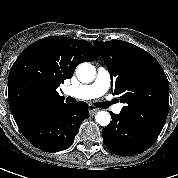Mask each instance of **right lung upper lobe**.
Returning <instances> with one entry per match:
<instances>
[{"mask_svg": "<svg viewBox=\"0 0 178 178\" xmlns=\"http://www.w3.org/2000/svg\"><path fill=\"white\" fill-rule=\"evenodd\" d=\"M99 58L91 43L49 36L29 45L12 65L8 100L15 122L27 114L64 103L56 89L76 67Z\"/></svg>", "mask_w": 178, "mask_h": 178, "instance_id": "right-lung-upper-lobe-1", "label": "right lung upper lobe"}]
</instances>
